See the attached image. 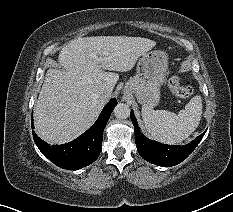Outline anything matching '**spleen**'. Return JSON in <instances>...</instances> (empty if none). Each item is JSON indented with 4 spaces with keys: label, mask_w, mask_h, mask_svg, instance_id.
<instances>
[{
    "label": "spleen",
    "mask_w": 233,
    "mask_h": 212,
    "mask_svg": "<svg viewBox=\"0 0 233 212\" xmlns=\"http://www.w3.org/2000/svg\"><path fill=\"white\" fill-rule=\"evenodd\" d=\"M202 116V98L194 96L178 114L142 106V118L148 133L166 144L187 139L198 127Z\"/></svg>",
    "instance_id": "spleen-1"
}]
</instances>
